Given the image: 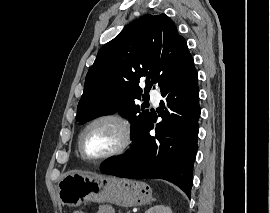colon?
<instances>
[{
	"mask_svg": "<svg viewBox=\"0 0 270 213\" xmlns=\"http://www.w3.org/2000/svg\"><path fill=\"white\" fill-rule=\"evenodd\" d=\"M73 213H85V212L77 210V211H74Z\"/></svg>",
	"mask_w": 270,
	"mask_h": 213,
	"instance_id": "1",
	"label": "colon"
}]
</instances>
